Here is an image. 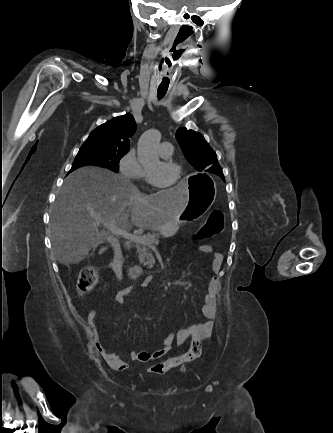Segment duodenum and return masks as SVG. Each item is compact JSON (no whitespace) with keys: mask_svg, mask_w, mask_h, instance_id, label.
Here are the masks:
<instances>
[{"mask_svg":"<svg viewBox=\"0 0 333 433\" xmlns=\"http://www.w3.org/2000/svg\"><path fill=\"white\" fill-rule=\"evenodd\" d=\"M142 272H143V270H142L141 268H139V267H133V268L130 270V274H131V276H132V277H135V278L140 277L141 274H142Z\"/></svg>","mask_w":333,"mask_h":433,"instance_id":"410a0bca","label":"duodenum"}]
</instances>
